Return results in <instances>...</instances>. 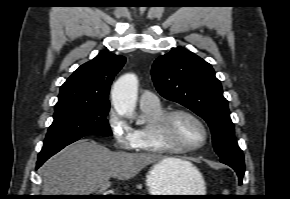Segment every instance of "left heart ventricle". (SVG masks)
<instances>
[{"label":"left heart ventricle","instance_id":"b2bd125f","mask_svg":"<svg viewBox=\"0 0 290 199\" xmlns=\"http://www.w3.org/2000/svg\"><path fill=\"white\" fill-rule=\"evenodd\" d=\"M168 137L180 146L192 147L202 142L203 130L192 118L178 115L171 121Z\"/></svg>","mask_w":290,"mask_h":199}]
</instances>
